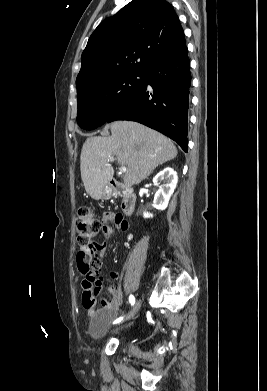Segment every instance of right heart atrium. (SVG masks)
Returning a JSON list of instances; mask_svg holds the SVG:
<instances>
[{"instance_id": "obj_1", "label": "right heart atrium", "mask_w": 267, "mask_h": 391, "mask_svg": "<svg viewBox=\"0 0 267 391\" xmlns=\"http://www.w3.org/2000/svg\"><path fill=\"white\" fill-rule=\"evenodd\" d=\"M119 319H120V318H119ZM117 320H118V319H117ZM117 320H115L114 323H117V322H116Z\"/></svg>"}]
</instances>
